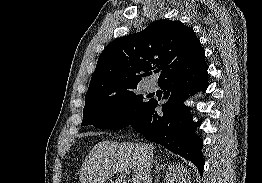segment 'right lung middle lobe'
Instances as JSON below:
<instances>
[{
	"instance_id": "1",
	"label": "right lung middle lobe",
	"mask_w": 262,
	"mask_h": 183,
	"mask_svg": "<svg viewBox=\"0 0 262 183\" xmlns=\"http://www.w3.org/2000/svg\"><path fill=\"white\" fill-rule=\"evenodd\" d=\"M148 102L135 89L85 103L82 125L99 129H121L129 126Z\"/></svg>"
}]
</instances>
